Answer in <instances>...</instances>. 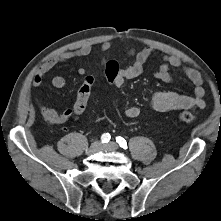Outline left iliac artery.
<instances>
[{"label":"left iliac artery","mask_w":221,"mask_h":221,"mask_svg":"<svg viewBox=\"0 0 221 221\" xmlns=\"http://www.w3.org/2000/svg\"><path fill=\"white\" fill-rule=\"evenodd\" d=\"M116 142L120 145V147L126 149L127 148V142L124 138L122 137H116Z\"/></svg>","instance_id":"44dca946"}]
</instances>
